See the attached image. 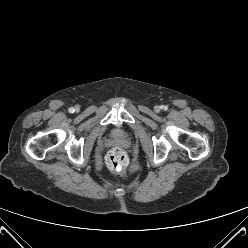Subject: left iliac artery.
I'll use <instances>...</instances> for the list:
<instances>
[{"label":"left iliac artery","mask_w":248,"mask_h":248,"mask_svg":"<svg viewBox=\"0 0 248 248\" xmlns=\"http://www.w3.org/2000/svg\"><path fill=\"white\" fill-rule=\"evenodd\" d=\"M163 109H164V110H167V109H168V107H167V106H163Z\"/></svg>","instance_id":"obj_1"}]
</instances>
